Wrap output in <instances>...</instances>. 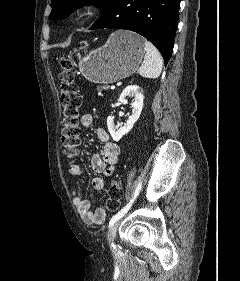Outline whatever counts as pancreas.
<instances>
[{
  "instance_id": "obj_1",
  "label": "pancreas",
  "mask_w": 240,
  "mask_h": 281,
  "mask_svg": "<svg viewBox=\"0 0 240 281\" xmlns=\"http://www.w3.org/2000/svg\"><path fill=\"white\" fill-rule=\"evenodd\" d=\"M107 89H108V86H103V87H99V88H98L99 91H101V90H107Z\"/></svg>"
}]
</instances>
